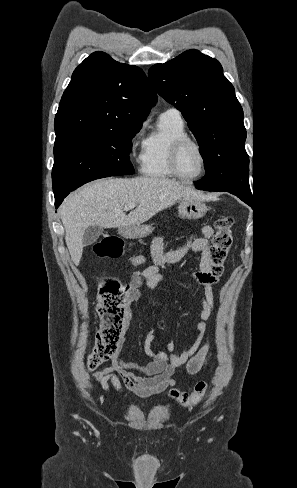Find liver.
I'll use <instances>...</instances> for the list:
<instances>
[{"mask_svg":"<svg viewBox=\"0 0 297 488\" xmlns=\"http://www.w3.org/2000/svg\"><path fill=\"white\" fill-rule=\"evenodd\" d=\"M206 196L167 178L136 177L100 179L71 193L62 203L60 216L71 259L79 265L83 235L89 226L121 228L140 225L178 200ZM134 203L128 215L124 206Z\"/></svg>","mask_w":297,"mask_h":488,"instance_id":"1","label":"liver"}]
</instances>
